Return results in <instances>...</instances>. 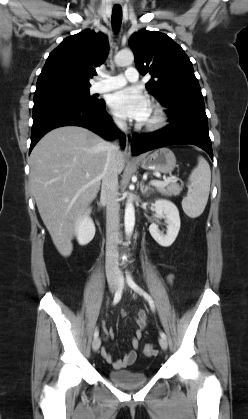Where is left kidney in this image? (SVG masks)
<instances>
[{
    "label": "left kidney",
    "instance_id": "obj_1",
    "mask_svg": "<svg viewBox=\"0 0 248 419\" xmlns=\"http://www.w3.org/2000/svg\"><path fill=\"white\" fill-rule=\"evenodd\" d=\"M155 212L167 222V233L164 235L158 229V225L152 223L149 226V232L154 240L161 246L168 247L176 239L180 230L179 211L175 204L169 200L158 199L154 204Z\"/></svg>",
    "mask_w": 248,
    "mask_h": 419
}]
</instances>
